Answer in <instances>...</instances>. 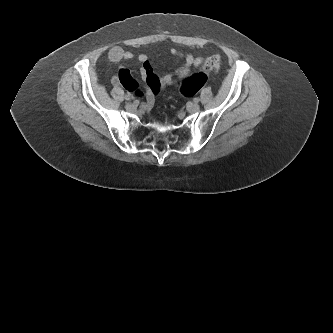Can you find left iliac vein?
<instances>
[{"label":"left iliac vein","instance_id":"left-iliac-vein-1","mask_svg":"<svg viewBox=\"0 0 333 333\" xmlns=\"http://www.w3.org/2000/svg\"><path fill=\"white\" fill-rule=\"evenodd\" d=\"M200 109V106L197 103H191L187 106V111L189 113H195L198 112Z\"/></svg>","mask_w":333,"mask_h":333}]
</instances>
